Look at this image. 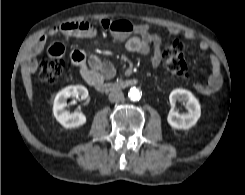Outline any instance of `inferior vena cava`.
Segmentation results:
<instances>
[{"instance_id": "1", "label": "inferior vena cava", "mask_w": 245, "mask_h": 195, "mask_svg": "<svg viewBox=\"0 0 245 195\" xmlns=\"http://www.w3.org/2000/svg\"><path fill=\"white\" fill-rule=\"evenodd\" d=\"M124 100V94L121 90H113L109 93L110 102H119Z\"/></svg>"}]
</instances>
